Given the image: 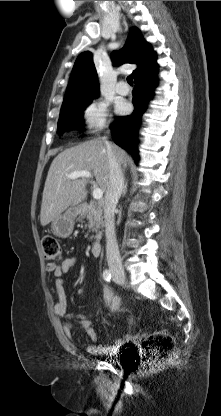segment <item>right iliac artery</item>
Returning a JSON list of instances; mask_svg holds the SVG:
<instances>
[{
    "mask_svg": "<svg viewBox=\"0 0 221 416\" xmlns=\"http://www.w3.org/2000/svg\"><path fill=\"white\" fill-rule=\"evenodd\" d=\"M103 278H104V280H105V281H107V282H109V281H110V279H111V273H110V271H109V270H105V271L103 272Z\"/></svg>",
    "mask_w": 221,
    "mask_h": 416,
    "instance_id": "obj_1",
    "label": "right iliac artery"
}]
</instances>
